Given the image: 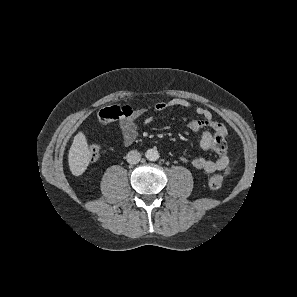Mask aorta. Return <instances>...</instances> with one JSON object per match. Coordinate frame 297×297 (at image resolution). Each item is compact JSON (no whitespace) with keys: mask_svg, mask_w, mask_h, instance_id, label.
Segmentation results:
<instances>
[{"mask_svg":"<svg viewBox=\"0 0 297 297\" xmlns=\"http://www.w3.org/2000/svg\"><path fill=\"white\" fill-rule=\"evenodd\" d=\"M146 158L149 160V161H156L158 160L159 158V153H158V150L153 148V149H148L146 151V154H145Z\"/></svg>","mask_w":297,"mask_h":297,"instance_id":"aorta-1","label":"aorta"}]
</instances>
